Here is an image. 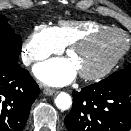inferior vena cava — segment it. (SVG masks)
I'll use <instances>...</instances> for the list:
<instances>
[{
	"mask_svg": "<svg viewBox=\"0 0 131 131\" xmlns=\"http://www.w3.org/2000/svg\"><path fill=\"white\" fill-rule=\"evenodd\" d=\"M29 62H30L29 60H26V61H25V64H29Z\"/></svg>",
	"mask_w": 131,
	"mask_h": 131,
	"instance_id": "602c4592",
	"label": "inferior vena cava"
}]
</instances>
